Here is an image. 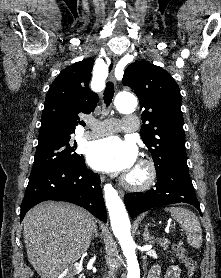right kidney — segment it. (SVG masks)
<instances>
[{"label": "right kidney", "mask_w": 221, "mask_h": 278, "mask_svg": "<svg viewBox=\"0 0 221 278\" xmlns=\"http://www.w3.org/2000/svg\"><path fill=\"white\" fill-rule=\"evenodd\" d=\"M81 264L75 263L65 269L58 278H73L80 270Z\"/></svg>", "instance_id": "1"}]
</instances>
